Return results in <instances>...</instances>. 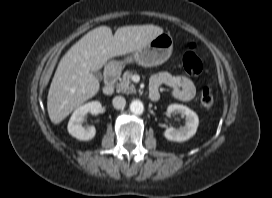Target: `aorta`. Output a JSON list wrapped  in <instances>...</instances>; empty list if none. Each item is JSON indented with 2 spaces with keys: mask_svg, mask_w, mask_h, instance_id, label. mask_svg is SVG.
I'll return each mask as SVG.
<instances>
[{
  "mask_svg": "<svg viewBox=\"0 0 272 198\" xmlns=\"http://www.w3.org/2000/svg\"><path fill=\"white\" fill-rule=\"evenodd\" d=\"M130 111L135 115H141L144 111L143 103L139 100H134L130 104Z\"/></svg>",
  "mask_w": 272,
  "mask_h": 198,
  "instance_id": "obj_1",
  "label": "aorta"
}]
</instances>
